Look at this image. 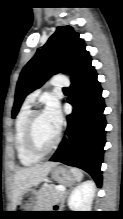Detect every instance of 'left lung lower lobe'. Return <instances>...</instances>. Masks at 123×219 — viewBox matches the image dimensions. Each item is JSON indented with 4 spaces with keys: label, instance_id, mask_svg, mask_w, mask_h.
I'll return each mask as SVG.
<instances>
[{
    "label": "left lung lower lobe",
    "instance_id": "0a47b994",
    "mask_svg": "<svg viewBox=\"0 0 123 219\" xmlns=\"http://www.w3.org/2000/svg\"><path fill=\"white\" fill-rule=\"evenodd\" d=\"M72 82L68 102L73 106V112L67 116L66 137L50 161L85 170L100 187L105 146V105L91 58L78 68Z\"/></svg>",
    "mask_w": 123,
    "mask_h": 219
}]
</instances>
